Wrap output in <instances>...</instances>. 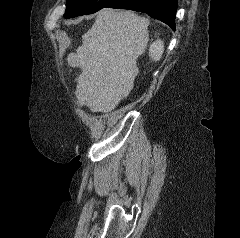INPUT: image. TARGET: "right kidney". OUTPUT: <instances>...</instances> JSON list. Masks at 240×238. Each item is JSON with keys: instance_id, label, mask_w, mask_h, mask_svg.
<instances>
[{"instance_id": "1", "label": "right kidney", "mask_w": 240, "mask_h": 238, "mask_svg": "<svg viewBox=\"0 0 240 238\" xmlns=\"http://www.w3.org/2000/svg\"><path fill=\"white\" fill-rule=\"evenodd\" d=\"M164 51L163 42L156 40L149 48V55L154 61H159Z\"/></svg>"}]
</instances>
